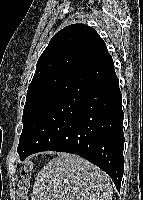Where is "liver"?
Returning <instances> with one entry per match:
<instances>
[{
  "instance_id": "6515ba94",
  "label": "liver",
  "mask_w": 143,
  "mask_h": 200,
  "mask_svg": "<svg viewBox=\"0 0 143 200\" xmlns=\"http://www.w3.org/2000/svg\"><path fill=\"white\" fill-rule=\"evenodd\" d=\"M110 177L80 156L60 153L38 173L31 200H112Z\"/></svg>"
}]
</instances>
